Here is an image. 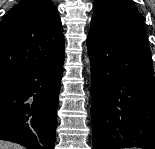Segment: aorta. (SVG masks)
Returning a JSON list of instances; mask_svg holds the SVG:
<instances>
[{
    "label": "aorta",
    "mask_w": 155,
    "mask_h": 149,
    "mask_svg": "<svg viewBox=\"0 0 155 149\" xmlns=\"http://www.w3.org/2000/svg\"><path fill=\"white\" fill-rule=\"evenodd\" d=\"M85 61L88 65L87 72L90 73V61L88 59H86Z\"/></svg>",
    "instance_id": "obj_1"
}]
</instances>
